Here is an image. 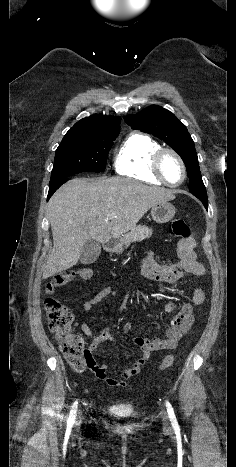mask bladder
Here are the masks:
<instances>
[{
    "label": "bladder",
    "mask_w": 236,
    "mask_h": 467,
    "mask_svg": "<svg viewBox=\"0 0 236 467\" xmlns=\"http://www.w3.org/2000/svg\"><path fill=\"white\" fill-rule=\"evenodd\" d=\"M115 411L119 412L122 416H128L131 414L130 408H117Z\"/></svg>",
    "instance_id": "31cf9c89"
}]
</instances>
